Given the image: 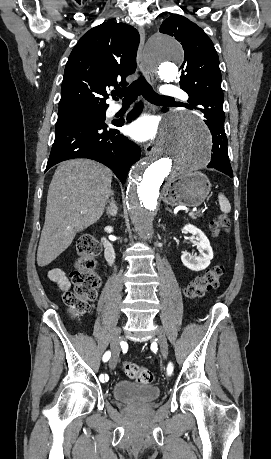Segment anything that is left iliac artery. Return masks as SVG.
<instances>
[{"label": "left iliac artery", "instance_id": "1", "mask_svg": "<svg viewBox=\"0 0 271 459\" xmlns=\"http://www.w3.org/2000/svg\"><path fill=\"white\" fill-rule=\"evenodd\" d=\"M166 373L168 374L169 377L173 376V370L171 364H169L168 369L166 370Z\"/></svg>", "mask_w": 271, "mask_h": 459}]
</instances>
